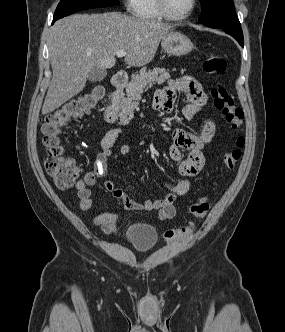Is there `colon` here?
Wrapping results in <instances>:
<instances>
[{"instance_id":"1","label":"colon","mask_w":285,"mask_h":332,"mask_svg":"<svg viewBox=\"0 0 285 332\" xmlns=\"http://www.w3.org/2000/svg\"><path fill=\"white\" fill-rule=\"evenodd\" d=\"M226 69V60L216 54H208L203 61V70L211 76L223 73ZM105 89L96 85L88 91L68 100L61 107L49 114L42 124L43 144L48 158L45 160V169L60 189L71 188L81 175V168L75 159L66 154L63 142V133L66 127L75 119L88 114L96 108L103 98ZM214 107L221 112L225 121L237 133L234 146L223 155V163L228 169H233L241 159L245 139L241 135L243 111L235 104L233 97L225 87L216 84L211 89ZM209 210L206 197L198 198L191 206L190 213L195 219H203ZM195 229L194 223L177 229L164 232L168 243H175L190 236Z\"/></svg>"}]
</instances>
